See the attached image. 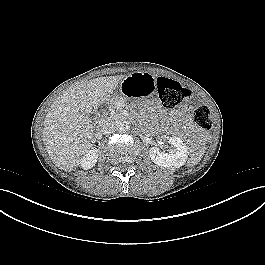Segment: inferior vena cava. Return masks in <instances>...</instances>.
<instances>
[{
  "label": "inferior vena cava",
  "mask_w": 265,
  "mask_h": 265,
  "mask_svg": "<svg viewBox=\"0 0 265 265\" xmlns=\"http://www.w3.org/2000/svg\"><path fill=\"white\" fill-rule=\"evenodd\" d=\"M116 126L114 122L109 120H104L100 126V132L104 135L111 134L115 131Z\"/></svg>",
  "instance_id": "1"
}]
</instances>
